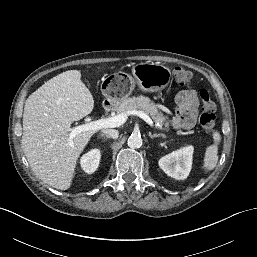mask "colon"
I'll list each match as a JSON object with an SVG mask.
<instances>
[{
  "label": "colon",
  "mask_w": 257,
  "mask_h": 257,
  "mask_svg": "<svg viewBox=\"0 0 257 257\" xmlns=\"http://www.w3.org/2000/svg\"><path fill=\"white\" fill-rule=\"evenodd\" d=\"M173 77L180 85H190L193 80V74L182 67H175L172 70ZM200 98L202 102V112L199 118L201 128L206 133H211L217 122L215 114V106L212 102L209 92L206 89L200 91Z\"/></svg>",
  "instance_id": "5ec220e1"
}]
</instances>
